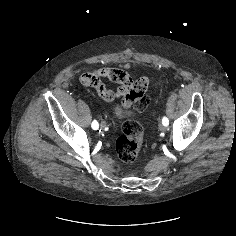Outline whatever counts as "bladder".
<instances>
[{
	"instance_id": "obj_1",
	"label": "bladder",
	"mask_w": 236,
	"mask_h": 236,
	"mask_svg": "<svg viewBox=\"0 0 236 236\" xmlns=\"http://www.w3.org/2000/svg\"><path fill=\"white\" fill-rule=\"evenodd\" d=\"M128 113H129V111L126 110V109H124L123 107H121L119 104H116V105L114 106V114H115L117 117L126 116Z\"/></svg>"
}]
</instances>
